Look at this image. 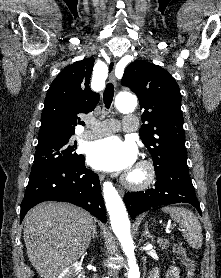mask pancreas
Here are the masks:
<instances>
[{"label":"pancreas","mask_w":221,"mask_h":278,"mask_svg":"<svg viewBox=\"0 0 221 278\" xmlns=\"http://www.w3.org/2000/svg\"><path fill=\"white\" fill-rule=\"evenodd\" d=\"M157 243L162 247V249H167L169 241L167 239L158 238Z\"/></svg>","instance_id":"pancreas-1"}]
</instances>
